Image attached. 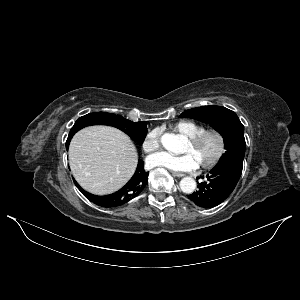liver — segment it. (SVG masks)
<instances>
[{"mask_svg":"<svg viewBox=\"0 0 300 300\" xmlns=\"http://www.w3.org/2000/svg\"><path fill=\"white\" fill-rule=\"evenodd\" d=\"M138 155L130 138L109 126H90L77 132L69 147V164L76 181L96 195L110 194L126 184Z\"/></svg>","mask_w":300,"mask_h":300,"instance_id":"liver-1","label":"liver"}]
</instances>
